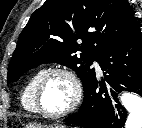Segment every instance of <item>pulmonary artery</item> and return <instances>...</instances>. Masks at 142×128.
Wrapping results in <instances>:
<instances>
[{"mask_svg": "<svg viewBox=\"0 0 142 128\" xmlns=\"http://www.w3.org/2000/svg\"><path fill=\"white\" fill-rule=\"evenodd\" d=\"M93 65H94L96 71H97L98 73H101V68H100L98 62H97V61H94Z\"/></svg>", "mask_w": 142, "mask_h": 128, "instance_id": "obj_1", "label": "pulmonary artery"}]
</instances>
